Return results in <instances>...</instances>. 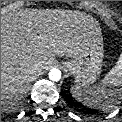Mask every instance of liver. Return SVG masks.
I'll list each match as a JSON object with an SVG mask.
<instances>
[{
  "mask_svg": "<svg viewBox=\"0 0 122 122\" xmlns=\"http://www.w3.org/2000/svg\"><path fill=\"white\" fill-rule=\"evenodd\" d=\"M94 43L101 45L99 24L81 12L26 9L1 17V103L25 93L55 56L75 57Z\"/></svg>",
  "mask_w": 122,
  "mask_h": 122,
  "instance_id": "1",
  "label": "liver"
}]
</instances>
